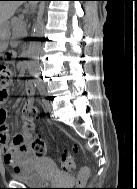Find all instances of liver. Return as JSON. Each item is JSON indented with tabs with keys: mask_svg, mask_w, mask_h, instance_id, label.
Returning <instances> with one entry per match:
<instances>
[{
	"mask_svg": "<svg viewBox=\"0 0 137 189\" xmlns=\"http://www.w3.org/2000/svg\"><path fill=\"white\" fill-rule=\"evenodd\" d=\"M21 4L22 1H0V29L14 15Z\"/></svg>",
	"mask_w": 137,
	"mask_h": 189,
	"instance_id": "obj_1",
	"label": "liver"
}]
</instances>
